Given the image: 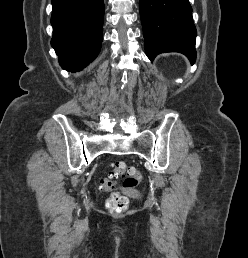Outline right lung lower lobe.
Returning a JSON list of instances; mask_svg holds the SVG:
<instances>
[{"mask_svg": "<svg viewBox=\"0 0 248 258\" xmlns=\"http://www.w3.org/2000/svg\"><path fill=\"white\" fill-rule=\"evenodd\" d=\"M51 45L60 65L80 71L98 55L102 44L103 0H52Z\"/></svg>", "mask_w": 248, "mask_h": 258, "instance_id": "1", "label": "right lung lower lobe"}]
</instances>
